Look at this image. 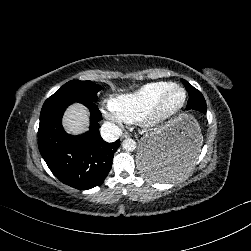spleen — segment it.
Here are the masks:
<instances>
[{
    "mask_svg": "<svg viewBox=\"0 0 251 251\" xmlns=\"http://www.w3.org/2000/svg\"><path fill=\"white\" fill-rule=\"evenodd\" d=\"M196 157H187L185 155V159L180 161L178 169H176L173 173L170 172L168 167L163 165L153 163L149 164V179L154 180H175L179 178L183 173L190 170V168L195 164Z\"/></svg>",
    "mask_w": 251,
    "mask_h": 251,
    "instance_id": "obj_1",
    "label": "spleen"
}]
</instances>
